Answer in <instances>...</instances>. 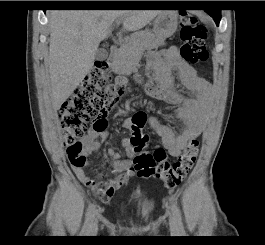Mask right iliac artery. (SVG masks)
<instances>
[{
	"instance_id": "1",
	"label": "right iliac artery",
	"mask_w": 265,
	"mask_h": 245,
	"mask_svg": "<svg viewBox=\"0 0 265 245\" xmlns=\"http://www.w3.org/2000/svg\"><path fill=\"white\" fill-rule=\"evenodd\" d=\"M94 209H95V203H91L88 207V210L86 213V219H85V222L82 228L83 235H89V230H90V227L94 219Z\"/></svg>"
}]
</instances>
